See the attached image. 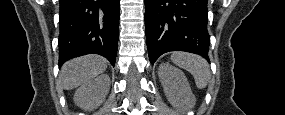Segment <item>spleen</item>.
Segmentation results:
<instances>
[{
  "label": "spleen",
  "mask_w": 285,
  "mask_h": 115,
  "mask_svg": "<svg viewBox=\"0 0 285 115\" xmlns=\"http://www.w3.org/2000/svg\"><path fill=\"white\" fill-rule=\"evenodd\" d=\"M171 60L174 64L193 75L199 89H204L207 86L210 79V69L204 58L196 54L175 52L171 55Z\"/></svg>",
  "instance_id": "obj_1"
}]
</instances>
